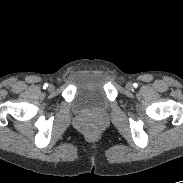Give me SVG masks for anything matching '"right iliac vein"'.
I'll list each match as a JSON object with an SVG mask.
<instances>
[{
	"instance_id": "obj_1",
	"label": "right iliac vein",
	"mask_w": 183,
	"mask_h": 183,
	"mask_svg": "<svg viewBox=\"0 0 183 183\" xmlns=\"http://www.w3.org/2000/svg\"><path fill=\"white\" fill-rule=\"evenodd\" d=\"M48 90H49V91H53V90H54V86H53L52 84L49 85V86H48Z\"/></svg>"
}]
</instances>
